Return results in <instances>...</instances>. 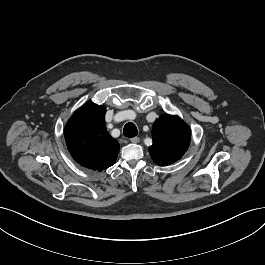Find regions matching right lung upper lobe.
I'll list each match as a JSON object with an SVG mask.
<instances>
[{
    "label": "right lung upper lobe",
    "instance_id": "obj_1",
    "mask_svg": "<svg viewBox=\"0 0 265 265\" xmlns=\"http://www.w3.org/2000/svg\"><path fill=\"white\" fill-rule=\"evenodd\" d=\"M106 108L85 103L68 120L65 139L68 150L80 165L102 171L116 162L119 144L106 130Z\"/></svg>",
    "mask_w": 265,
    "mask_h": 265
}]
</instances>
